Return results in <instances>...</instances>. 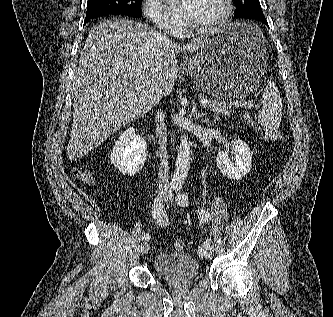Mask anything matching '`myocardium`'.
Masks as SVG:
<instances>
[{
    "instance_id": "f54148a6",
    "label": "myocardium",
    "mask_w": 333,
    "mask_h": 317,
    "mask_svg": "<svg viewBox=\"0 0 333 317\" xmlns=\"http://www.w3.org/2000/svg\"><path fill=\"white\" fill-rule=\"evenodd\" d=\"M219 2L221 9L217 17L207 25L201 27L191 26V32L196 34H209L219 29L228 20L232 13V0H219Z\"/></svg>"
}]
</instances>
